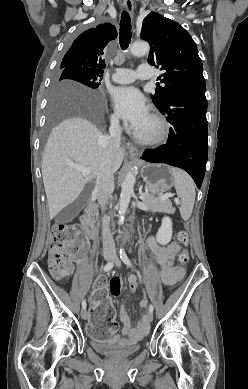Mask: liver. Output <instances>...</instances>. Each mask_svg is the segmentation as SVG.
<instances>
[{
    "mask_svg": "<svg viewBox=\"0 0 248 389\" xmlns=\"http://www.w3.org/2000/svg\"><path fill=\"white\" fill-rule=\"evenodd\" d=\"M94 99L89 89L71 84L65 85L58 93V103L62 104L84 101L96 106ZM105 138L93 123L83 117L66 119L52 130L42 160V178L51 219L74 202L85 185L97 176ZM123 158L124 150L119 149L112 163L113 173L120 168ZM69 163L89 168L90 175H82Z\"/></svg>",
    "mask_w": 248,
    "mask_h": 389,
    "instance_id": "obj_1",
    "label": "liver"
}]
</instances>
